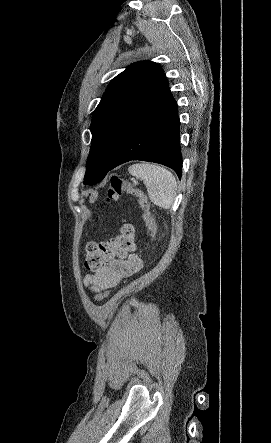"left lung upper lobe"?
<instances>
[{"instance_id":"1","label":"left lung upper lobe","mask_w":271,"mask_h":443,"mask_svg":"<svg viewBox=\"0 0 271 443\" xmlns=\"http://www.w3.org/2000/svg\"><path fill=\"white\" fill-rule=\"evenodd\" d=\"M162 74L163 69L158 64L139 61L110 82L93 113L84 184L94 185L110 171L126 128Z\"/></svg>"}]
</instances>
